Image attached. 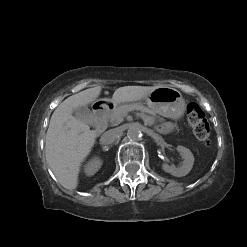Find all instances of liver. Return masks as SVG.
Instances as JSON below:
<instances>
[{"label": "liver", "mask_w": 247, "mask_h": 247, "mask_svg": "<svg viewBox=\"0 0 247 247\" xmlns=\"http://www.w3.org/2000/svg\"><path fill=\"white\" fill-rule=\"evenodd\" d=\"M159 87L161 85L120 87L115 90L112 100L116 103L138 101ZM101 90V86H96L68 97L51 116L45 142L46 160L66 189L73 190L78 186L81 164L91 152L97 136L86 123L72 115L73 110L93 103Z\"/></svg>", "instance_id": "liver-1"}]
</instances>
